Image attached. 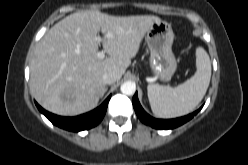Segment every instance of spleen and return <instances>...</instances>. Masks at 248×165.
Masks as SVG:
<instances>
[{
    "label": "spleen",
    "instance_id": "spleen-1",
    "mask_svg": "<svg viewBox=\"0 0 248 165\" xmlns=\"http://www.w3.org/2000/svg\"><path fill=\"white\" fill-rule=\"evenodd\" d=\"M195 74L175 88L149 84L148 99L155 116L174 118L190 113L203 99L211 78L209 55L202 48L196 49Z\"/></svg>",
    "mask_w": 248,
    "mask_h": 165
}]
</instances>
